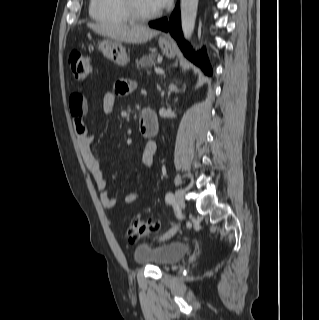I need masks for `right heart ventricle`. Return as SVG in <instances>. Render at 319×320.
I'll return each instance as SVG.
<instances>
[{
	"label": "right heart ventricle",
	"instance_id": "obj_1",
	"mask_svg": "<svg viewBox=\"0 0 319 320\" xmlns=\"http://www.w3.org/2000/svg\"><path fill=\"white\" fill-rule=\"evenodd\" d=\"M89 15L104 24H128L132 21L121 0H91Z\"/></svg>",
	"mask_w": 319,
	"mask_h": 320
}]
</instances>
